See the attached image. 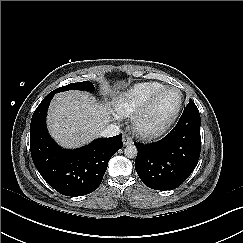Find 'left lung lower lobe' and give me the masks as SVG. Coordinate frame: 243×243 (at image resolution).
<instances>
[{
  "label": "left lung lower lobe",
  "mask_w": 243,
  "mask_h": 243,
  "mask_svg": "<svg viewBox=\"0 0 243 243\" xmlns=\"http://www.w3.org/2000/svg\"><path fill=\"white\" fill-rule=\"evenodd\" d=\"M200 125L197 107L186 106L176 126L163 139L135 144V169L147 187L172 190L189 177L200 156Z\"/></svg>",
  "instance_id": "1"
}]
</instances>
